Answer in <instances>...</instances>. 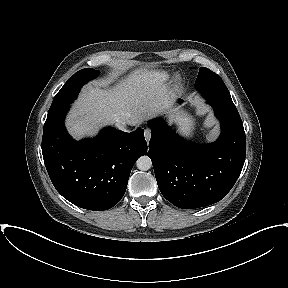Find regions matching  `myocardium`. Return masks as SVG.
Returning <instances> with one entry per match:
<instances>
[{"label": "myocardium", "mask_w": 288, "mask_h": 288, "mask_svg": "<svg viewBox=\"0 0 288 288\" xmlns=\"http://www.w3.org/2000/svg\"><path fill=\"white\" fill-rule=\"evenodd\" d=\"M180 83V77L179 76H175L174 78H173V84L174 85H178Z\"/></svg>", "instance_id": "myocardium-1"}]
</instances>
